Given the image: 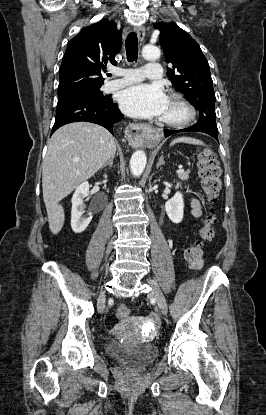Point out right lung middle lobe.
Returning a JSON list of instances; mask_svg holds the SVG:
<instances>
[{
  "label": "right lung middle lobe",
  "instance_id": "right-lung-middle-lobe-1",
  "mask_svg": "<svg viewBox=\"0 0 266 415\" xmlns=\"http://www.w3.org/2000/svg\"><path fill=\"white\" fill-rule=\"evenodd\" d=\"M72 100L105 103L109 99L103 95L100 87L83 88L58 94V102Z\"/></svg>",
  "mask_w": 266,
  "mask_h": 415
}]
</instances>
